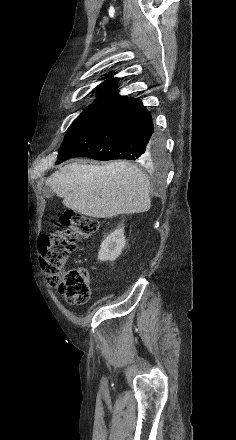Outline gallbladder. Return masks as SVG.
Returning <instances> with one entry per match:
<instances>
[{"label": "gallbladder", "mask_w": 236, "mask_h": 440, "mask_svg": "<svg viewBox=\"0 0 236 440\" xmlns=\"http://www.w3.org/2000/svg\"><path fill=\"white\" fill-rule=\"evenodd\" d=\"M42 194L45 198L51 199L54 196V191L49 185H45L43 187Z\"/></svg>", "instance_id": "gallbladder-1"}]
</instances>
